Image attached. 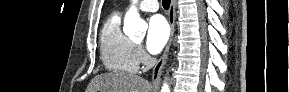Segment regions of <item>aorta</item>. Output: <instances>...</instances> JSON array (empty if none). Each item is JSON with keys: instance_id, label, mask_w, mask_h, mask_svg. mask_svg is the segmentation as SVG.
I'll list each match as a JSON object with an SVG mask.
<instances>
[{"instance_id": "aorta-1", "label": "aorta", "mask_w": 289, "mask_h": 92, "mask_svg": "<svg viewBox=\"0 0 289 92\" xmlns=\"http://www.w3.org/2000/svg\"><path fill=\"white\" fill-rule=\"evenodd\" d=\"M135 3L136 0L133 1L131 8L125 15L124 32L127 35L135 34L137 36H141L143 32L147 29V24L144 20L140 18V15L135 7ZM161 92H170L168 84H163Z\"/></svg>"}]
</instances>
